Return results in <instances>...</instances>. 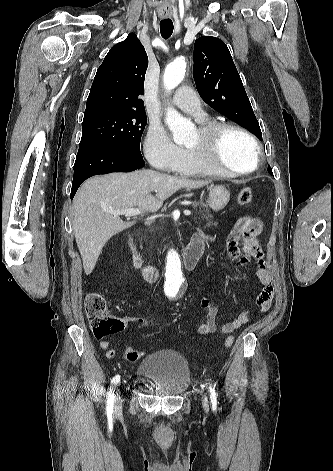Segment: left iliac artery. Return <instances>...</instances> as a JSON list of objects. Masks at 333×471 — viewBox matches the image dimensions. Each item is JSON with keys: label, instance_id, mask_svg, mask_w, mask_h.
Wrapping results in <instances>:
<instances>
[{"label": "left iliac artery", "instance_id": "left-iliac-artery-1", "mask_svg": "<svg viewBox=\"0 0 333 471\" xmlns=\"http://www.w3.org/2000/svg\"><path fill=\"white\" fill-rule=\"evenodd\" d=\"M209 390H210V400H211V404H212V409H213V411H216V408H217V395H216L214 387H212L211 385L209 386Z\"/></svg>", "mask_w": 333, "mask_h": 471}]
</instances>
